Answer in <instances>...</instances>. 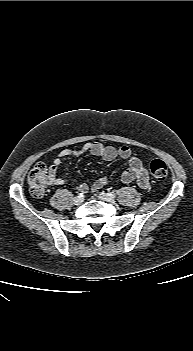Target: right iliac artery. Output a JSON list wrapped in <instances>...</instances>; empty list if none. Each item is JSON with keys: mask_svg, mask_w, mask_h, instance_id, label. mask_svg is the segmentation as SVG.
I'll list each match as a JSON object with an SVG mask.
<instances>
[{"mask_svg": "<svg viewBox=\"0 0 193 351\" xmlns=\"http://www.w3.org/2000/svg\"><path fill=\"white\" fill-rule=\"evenodd\" d=\"M78 195H79L78 197H83V193L82 192L79 193Z\"/></svg>", "mask_w": 193, "mask_h": 351, "instance_id": "right-iliac-artery-1", "label": "right iliac artery"}]
</instances>
